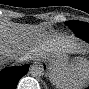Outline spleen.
<instances>
[{
	"instance_id": "spleen-1",
	"label": "spleen",
	"mask_w": 89,
	"mask_h": 89,
	"mask_svg": "<svg viewBox=\"0 0 89 89\" xmlns=\"http://www.w3.org/2000/svg\"><path fill=\"white\" fill-rule=\"evenodd\" d=\"M50 82L57 89H81L89 82V63L86 59L69 62L49 71Z\"/></svg>"
}]
</instances>
